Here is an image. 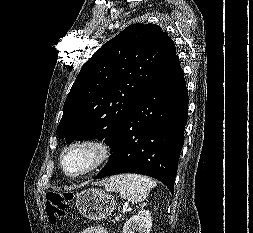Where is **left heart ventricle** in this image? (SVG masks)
Instances as JSON below:
<instances>
[{
	"label": "left heart ventricle",
	"mask_w": 253,
	"mask_h": 233,
	"mask_svg": "<svg viewBox=\"0 0 253 233\" xmlns=\"http://www.w3.org/2000/svg\"><path fill=\"white\" fill-rule=\"evenodd\" d=\"M91 160V155L87 150H75L66 158V167L69 171L75 172L85 168Z\"/></svg>",
	"instance_id": "obj_1"
}]
</instances>
